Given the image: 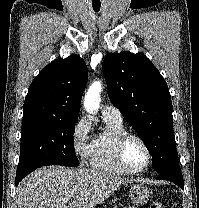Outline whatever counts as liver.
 <instances>
[{"mask_svg": "<svg viewBox=\"0 0 199 208\" xmlns=\"http://www.w3.org/2000/svg\"><path fill=\"white\" fill-rule=\"evenodd\" d=\"M130 182L97 169L46 166L20 182L16 202L18 208H93Z\"/></svg>", "mask_w": 199, "mask_h": 208, "instance_id": "liver-1", "label": "liver"}]
</instances>
